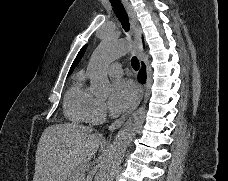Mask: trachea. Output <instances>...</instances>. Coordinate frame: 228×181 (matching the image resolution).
Listing matches in <instances>:
<instances>
[{"mask_svg": "<svg viewBox=\"0 0 228 181\" xmlns=\"http://www.w3.org/2000/svg\"><path fill=\"white\" fill-rule=\"evenodd\" d=\"M110 3L120 21L123 29L126 31V33H128V31L130 29L129 19H128L126 10L123 7L121 1L120 0H110ZM131 65L134 70L137 71L139 69V61L135 56H133L131 58Z\"/></svg>", "mask_w": 228, "mask_h": 181, "instance_id": "3493384b", "label": "trachea"}]
</instances>
